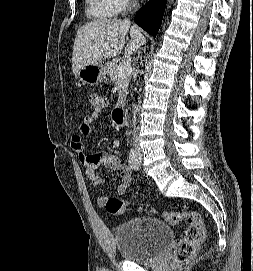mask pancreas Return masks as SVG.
<instances>
[{
    "label": "pancreas",
    "instance_id": "obj_1",
    "mask_svg": "<svg viewBox=\"0 0 253 271\" xmlns=\"http://www.w3.org/2000/svg\"><path fill=\"white\" fill-rule=\"evenodd\" d=\"M123 65V60L120 58L112 59L105 65L106 74L111 81L119 88V99L117 106L123 105L128 94V85L131 79V73L123 77H119L118 69Z\"/></svg>",
    "mask_w": 253,
    "mask_h": 271
}]
</instances>
